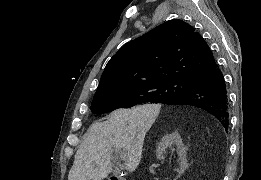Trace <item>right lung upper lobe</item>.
Instances as JSON below:
<instances>
[{"instance_id":"right-lung-upper-lobe-1","label":"right lung upper lobe","mask_w":261,"mask_h":180,"mask_svg":"<svg viewBox=\"0 0 261 180\" xmlns=\"http://www.w3.org/2000/svg\"><path fill=\"white\" fill-rule=\"evenodd\" d=\"M216 66L201 35L182 20H170L127 43L110 59L94 98L162 80L191 82Z\"/></svg>"}]
</instances>
